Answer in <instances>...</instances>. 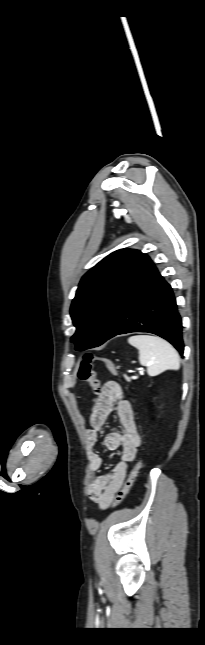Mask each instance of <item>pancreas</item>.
<instances>
[{"mask_svg":"<svg viewBox=\"0 0 205 645\" xmlns=\"http://www.w3.org/2000/svg\"><path fill=\"white\" fill-rule=\"evenodd\" d=\"M124 378H125V380H126V381L130 382V378H129V377H127L126 375H124Z\"/></svg>","mask_w":205,"mask_h":645,"instance_id":"pancreas-1","label":"pancreas"}]
</instances>
